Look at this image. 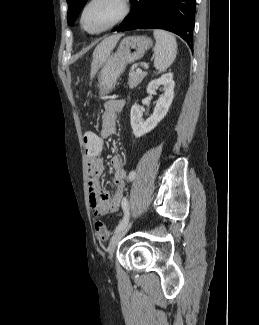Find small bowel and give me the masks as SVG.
I'll list each match as a JSON object with an SVG mask.
<instances>
[{
	"mask_svg": "<svg viewBox=\"0 0 259 325\" xmlns=\"http://www.w3.org/2000/svg\"><path fill=\"white\" fill-rule=\"evenodd\" d=\"M123 99H110L104 105L102 114L100 134L97 138L104 139L112 136L116 132V122L124 107ZM102 149L86 151L88 167V187L89 203L94 215H102L106 212H115L122 205L126 190L127 171L124 161L120 155L111 158V166L114 170L113 184L116 188L113 195L103 190L99 183V178L104 171L103 160L101 158Z\"/></svg>",
	"mask_w": 259,
	"mask_h": 325,
	"instance_id": "1",
	"label": "small bowel"
}]
</instances>
